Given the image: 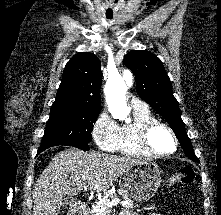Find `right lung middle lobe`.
Returning a JSON list of instances; mask_svg holds the SVG:
<instances>
[{
    "label": "right lung middle lobe",
    "mask_w": 221,
    "mask_h": 215,
    "mask_svg": "<svg viewBox=\"0 0 221 215\" xmlns=\"http://www.w3.org/2000/svg\"><path fill=\"white\" fill-rule=\"evenodd\" d=\"M99 111L66 110L50 114L41 146L90 142Z\"/></svg>",
    "instance_id": "dd1d6c3e"
}]
</instances>
